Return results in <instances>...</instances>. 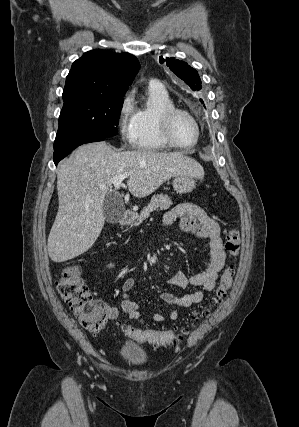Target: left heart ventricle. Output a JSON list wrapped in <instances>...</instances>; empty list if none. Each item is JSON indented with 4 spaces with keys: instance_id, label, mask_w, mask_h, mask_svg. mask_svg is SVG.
Listing matches in <instances>:
<instances>
[{
    "instance_id": "1",
    "label": "left heart ventricle",
    "mask_w": 299,
    "mask_h": 427,
    "mask_svg": "<svg viewBox=\"0 0 299 427\" xmlns=\"http://www.w3.org/2000/svg\"><path fill=\"white\" fill-rule=\"evenodd\" d=\"M171 134L175 142L189 145L196 138V127L191 118L184 114H177L171 120Z\"/></svg>"
}]
</instances>
